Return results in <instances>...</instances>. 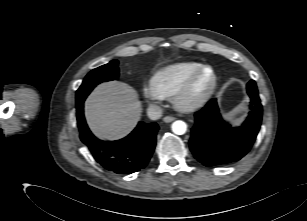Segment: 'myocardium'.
Segmentation results:
<instances>
[{"mask_svg":"<svg viewBox=\"0 0 307 221\" xmlns=\"http://www.w3.org/2000/svg\"><path fill=\"white\" fill-rule=\"evenodd\" d=\"M211 72V81L207 88L198 93L197 84L206 72ZM218 84V77L212 66L204 65L200 68L176 93L173 98L175 108L182 112H192L204 106L215 92Z\"/></svg>","mask_w":307,"mask_h":221,"instance_id":"1","label":"myocardium"}]
</instances>
